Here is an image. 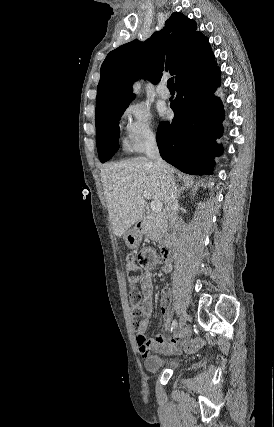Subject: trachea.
Returning a JSON list of instances; mask_svg holds the SVG:
<instances>
[{"label": "trachea", "mask_w": 274, "mask_h": 427, "mask_svg": "<svg viewBox=\"0 0 274 427\" xmlns=\"http://www.w3.org/2000/svg\"><path fill=\"white\" fill-rule=\"evenodd\" d=\"M167 87L170 88H174V77H171L168 79L167 81Z\"/></svg>", "instance_id": "1"}]
</instances>
